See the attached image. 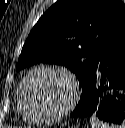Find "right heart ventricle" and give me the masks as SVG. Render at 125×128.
<instances>
[{"mask_svg":"<svg viewBox=\"0 0 125 128\" xmlns=\"http://www.w3.org/2000/svg\"><path fill=\"white\" fill-rule=\"evenodd\" d=\"M20 94H19V89H18V111H19V113L21 114V116L24 118V119H26V120H30V119H28L24 114H23V112H22V110H21V107H20Z\"/></svg>","mask_w":125,"mask_h":128,"instance_id":"obj_1","label":"right heart ventricle"}]
</instances>
